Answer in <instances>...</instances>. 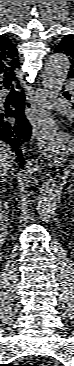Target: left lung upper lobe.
Wrapping results in <instances>:
<instances>
[{"label":"left lung upper lobe","mask_w":74,"mask_h":366,"mask_svg":"<svg viewBox=\"0 0 74 366\" xmlns=\"http://www.w3.org/2000/svg\"><path fill=\"white\" fill-rule=\"evenodd\" d=\"M55 53H64L70 58L71 66L68 75L74 77V34L66 35L54 50Z\"/></svg>","instance_id":"1"}]
</instances>
